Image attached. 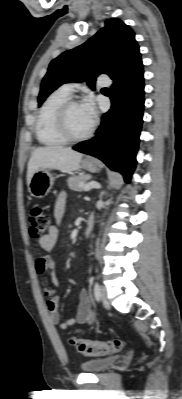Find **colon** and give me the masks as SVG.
<instances>
[{"label":"colon","instance_id":"colon-1","mask_svg":"<svg viewBox=\"0 0 182 399\" xmlns=\"http://www.w3.org/2000/svg\"><path fill=\"white\" fill-rule=\"evenodd\" d=\"M29 232L33 238H41L46 234L50 225L48 213L38 205L32 206L27 212ZM70 345L86 356H106L118 353L124 347L122 340L115 339L106 342H96L81 338H72Z\"/></svg>","mask_w":182,"mask_h":399}]
</instances>
